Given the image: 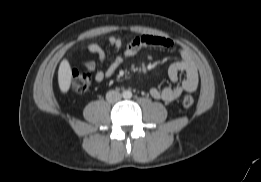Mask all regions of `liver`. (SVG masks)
Listing matches in <instances>:
<instances>
[{
  "label": "liver",
  "instance_id": "6515ba94",
  "mask_svg": "<svg viewBox=\"0 0 261 182\" xmlns=\"http://www.w3.org/2000/svg\"><path fill=\"white\" fill-rule=\"evenodd\" d=\"M71 67L67 59H63L58 70V84L62 93H66L71 85Z\"/></svg>",
  "mask_w": 261,
  "mask_h": 182
}]
</instances>
